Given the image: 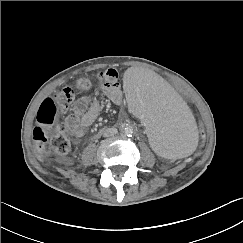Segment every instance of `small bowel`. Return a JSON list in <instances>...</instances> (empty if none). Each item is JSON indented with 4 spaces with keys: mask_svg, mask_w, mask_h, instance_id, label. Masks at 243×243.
Wrapping results in <instances>:
<instances>
[{
    "mask_svg": "<svg viewBox=\"0 0 243 243\" xmlns=\"http://www.w3.org/2000/svg\"><path fill=\"white\" fill-rule=\"evenodd\" d=\"M101 81L103 94L115 105L123 101V93L119 85V72L109 68L98 75ZM101 111L100 100L91 103L87 98H80L74 107V111L65 119L68 134L74 139H80L97 119Z\"/></svg>",
    "mask_w": 243,
    "mask_h": 243,
    "instance_id": "c3829d8e",
    "label": "small bowel"
}]
</instances>
